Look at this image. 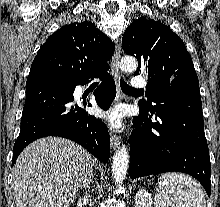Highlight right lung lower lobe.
I'll return each instance as SVG.
<instances>
[{
    "label": "right lung lower lobe",
    "instance_id": "1",
    "mask_svg": "<svg viewBox=\"0 0 220 207\" xmlns=\"http://www.w3.org/2000/svg\"><path fill=\"white\" fill-rule=\"evenodd\" d=\"M94 77L102 80L95 100L101 108L108 109L116 96L115 82L106 70ZM87 82V79L73 81L46 75L28 78L21 130L13 147L12 165L28 144L46 136L71 139L102 162L108 161L110 137L106 125L82 109V106H92L90 103H74L75 87Z\"/></svg>",
    "mask_w": 220,
    "mask_h": 207
}]
</instances>
